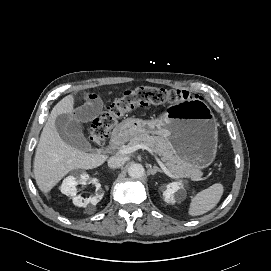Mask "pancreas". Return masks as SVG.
<instances>
[{
	"label": "pancreas",
	"instance_id": "obj_1",
	"mask_svg": "<svg viewBox=\"0 0 271 271\" xmlns=\"http://www.w3.org/2000/svg\"><path fill=\"white\" fill-rule=\"evenodd\" d=\"M137 144H145L151 147L161 157L162 161L165 162L166 168L175 176L191 178H200L202 176L200 169L182 160L172 145L161 136L143 133L131 138L125 147H132Z\"/></svg>",
	"mask_w": 271,
	"mask_h": 271
}]
</instances>
